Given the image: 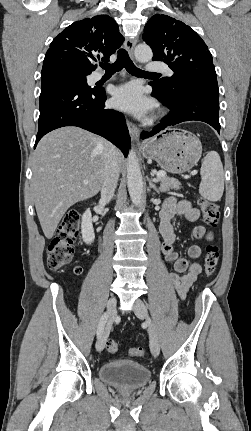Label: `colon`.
Returning a JSON list of instances; mask_svg holds the SVG:
<instances>
[{
  "label": "colon",
  "mask_w": 251,
  "mask_h": 431,
  "mask_svg": "<svg viewBox=\"0 0 251 431\" xmlns=\"http://www.w3.org/2000/svg\"><path fill=\"white\" fill-rule=\"evenodd\" d=\"M198 205L203 214L204 223L212 228H215L220 218L218 205L206 198L200 197ZM80 212L77 209H70L63 217L54 238L51 240L47 249V265L50 270H58L68 264L74 254V242L79 236ZM220 258L219 248L215 244H209L206 247L205 256V275L211 277L218 266ZM82 272L80 266L74 268L76 275ZM106 350L114 354L118 351V344L114 340H108ZM130 356L142 357L146 351L141 347H133L128 351Z\"/></svg>",
  "instance_id": "obj_1"
}]
</instances>
